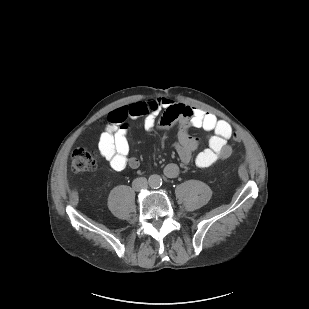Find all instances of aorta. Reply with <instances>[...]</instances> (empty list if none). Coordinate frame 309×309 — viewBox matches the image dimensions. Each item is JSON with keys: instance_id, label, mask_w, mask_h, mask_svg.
<instances>
[{"instance_id": "1", "label": "aorta", "mask_w": 309, "mask_h": 309, "mask_svg": "<svg viewBox=\"0 0 309 309\" xmlns=\"http://www.w3.org/2000/svg\"><path fill=\"white\" fill-rule=\"evenodd\" d=\"M148 182H149L150 187L158 188L162 184V179L159 175L153 174L149 177Z\"/></svg>"}]
</instances>
